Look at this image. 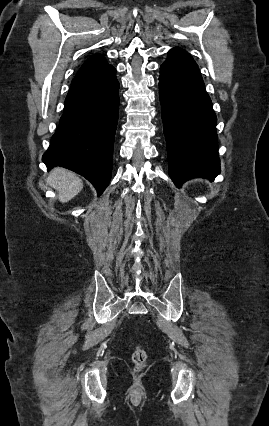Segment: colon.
I'll return each mask as SVG.
<instances>
[{
  "mask_svg": "<svg viewBox=\"0 0 269 426\" xmlns=\"http://www.w3.org/2000/svg\"><path fill=\"white\" fill-rule=\"evenodd\" d=\"M146 354L143 350H137L133 355V361L135 363L136 369L140 370L143 368L146 362Z\"/></svg>",
  "mask_w": 269,
  "mask_h": 426,
  "instance_id": "colon-1",
  "label": "colon"
}]
</instances>
